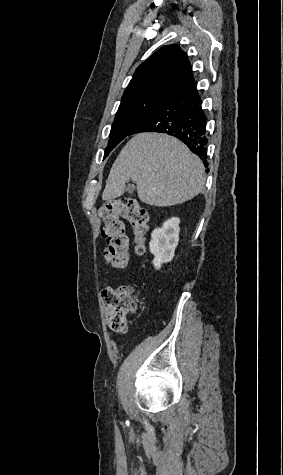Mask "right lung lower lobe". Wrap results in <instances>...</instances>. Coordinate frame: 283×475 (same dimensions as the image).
<instances>
[{
  "instance_id": "1",
  "label": "right lung lower lobe",
  "mask_w": 283,
  "mask_h": 475,
  "mask_svg": "<svg viewBox=\"0 0 283 475\" xmlns=\"http://www.w3.org/2000/svg\"><path fill=\"white\" fill-rule=\"evenodd\" d=\"M194 80L175 89L129 133L160 132L177 137L201 160H206L207 117ZM207 166V162H204ZM208 171V170H207Z\"/></svg>"
}]
</instances>
